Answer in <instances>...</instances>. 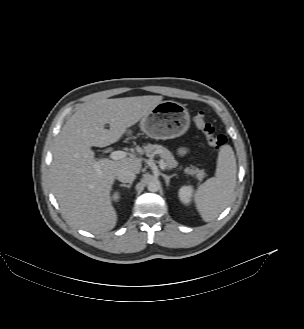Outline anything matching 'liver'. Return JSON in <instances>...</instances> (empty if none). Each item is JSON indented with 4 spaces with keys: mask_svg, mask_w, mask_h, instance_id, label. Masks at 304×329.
<instances>
[{
    "mask_svg": "<svg viewBox=\"0 0 304 329\" xmlns=\"http://www.w3.org/2000/svg\"><path fill=\"white\" fill-rule=\"evenodd\" d=\"M162 99L152 95L99 99L84 105L67 120L55 140L50 179L61 211L75 226L93 234L115 227L112 186L121 169L139 173L141 159L130 156L115 161L95 160L91 147L119 141ZM105 124H109V130Z\"/></svg>",
    "mask_w": 304,
    "mask_h": 329,
    "instance_id": "obj_1",
    "label": "liver"
}]
</instances>
